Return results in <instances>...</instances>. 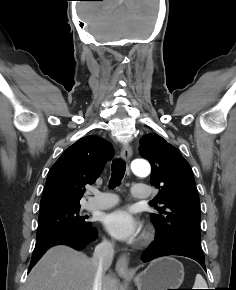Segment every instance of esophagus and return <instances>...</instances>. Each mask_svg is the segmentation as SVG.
I'll return each instance as SVG.
<instances>
[{
	"mask_svg": "<svg viewBox=\"0 0 236 290\" xmlns=\"http://www.w3.org/2000/svg\"><path fill=\"white\" fill-rule=\"evenodd\" d=\"M120 155L123 160L129 161L132 156V148L128 144L123 145ZM128 264L129 259L127 255H121L116 262V272L119 275H130L132 272L129 269Z\"/></svg>",
	"mask_w": 236,
	"mask_h": 290,
	"instance_id": "obj_1",
	"label": "esophagus"
}]
</instances>
